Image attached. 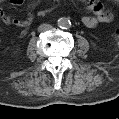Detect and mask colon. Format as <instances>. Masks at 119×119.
Returning a JSON list of instances; mask_svg holds the SVG:
<instances>
[{
  "label": "colon",
  "instance_id": "1",
  "mask_svg": "<svg viewBox=\"0 0 119 119\" xmlns=\"http://www.w3.org/2000/svg\"><path fill=\"white\" fill-rule=\"evenodd\" d=\"M94 9H98V6H95ZM115 38L118 39L119 38V30H117L115 32Z\"/></svg>",
  "mask_w": 119,
  "mask_h": 119
}]
</instances>
